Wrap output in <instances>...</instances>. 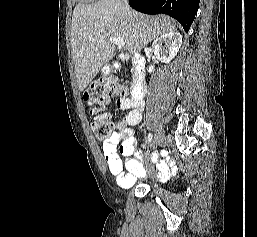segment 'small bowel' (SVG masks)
<instances>
[{
    "label": "small bowel",
    "mask_w": 257,
    "mask_h": 237,
    "mask_svg": "<svg viewBox=\"0 0 257 237\" xmlns=\"http://www.w3.org/2000/svg\"><path fill=\"white\" fill-rule=\"evenodd\" d=\"M115 106L126 110L127 113L116 122L117 131L102 145V154L118 185L127 188L131 187L137 178H142L146 174L142 164L144 156L136 149V138L132 129L141 122L145 103L142 99L123 97L115 101ZM120 156L125 159L122 160ZM173 170V166L164 160L157 165L158 176L161 179L169 178Z\"/></svg>",
    "instance_id": "1"
}]
</instances>
